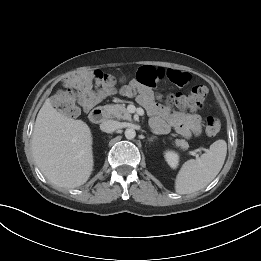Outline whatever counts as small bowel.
Segmentation results:
<instances>
[{"instance_id":"1","label":"small bowel","mask_w":261,"mask_h":261,"mask_svg":"<svg viewBox=\"0 0 261 261\" xmlns=\"http://www.w3.org/2000/svg\"><path fill=\"white\" fill-rule=\"evenodd\" d=\"M190 74L174 69H164L154 66H143L138 69L136 79L127 85L116 89L114 86L103 90L92 88L93 74L82 72L72 75L65 80L67 86L78 92L79 104L88 111L108 96L121 94L127 97H136L151 116L153 128L160 134L173 129L183 138L189 139L202 133V119L195 112L172 111L155 101L152 87L161 81L168 80L178 86L187 84Z\"/></svg>"}]
</instances>
